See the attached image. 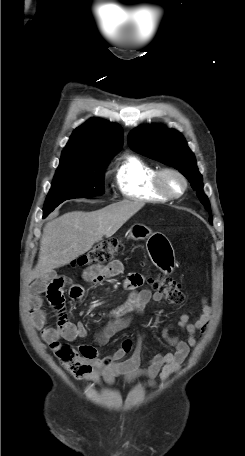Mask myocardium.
I'll list each match as a JSON object with an SVG mask.
<instances>
[{"label": "myocardium", "instance_id": "obj_1", "mask_svg": "<svg viewBox=\"0 0 245 456\" xmlns=\"http://www.w3.org/2000/svg\"><path fill=\"white\" fill-rule=\"evenodd\" d=\"M167 174H173L182 181L183 188L181 192L175 194L168 190V188L164 184V177ZM153 186L159 194L166 197L167 199H178L185 194L188 187V181L185 175L179 170L171 167H166L157 170L156 174L153 177Z\"/></svg>", "mask_w": 245, "mask_h": 456}]
</instances>
